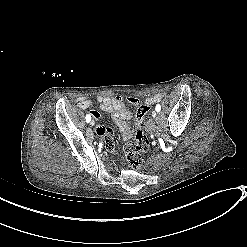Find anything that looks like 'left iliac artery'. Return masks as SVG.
<instances>
[{
  "mask_svg": "<svg viewBox=\"0 0 247 247\" xmlns=\"http://www.w3.org/2000/svg\"><path fill=\"white\" fill-rule=\"evenodd\" d=\"M155 110L159 112L161 110V106L159 104L156 105Z\"/></svg>",
  "mask_w": 247,
  "mask_h": 247,
  "instance_id": "44dca946",
  "label": "left iliac artery"
}]
</instances>
